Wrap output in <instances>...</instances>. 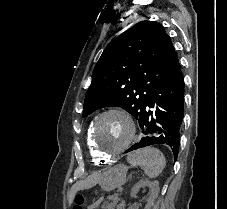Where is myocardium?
<instances>
[{
	"label": "myocardium",
	"mask_w": 227,
	"mask_h": 209,
	"mask_svg": "<svg viewBox=\"0 0 227 209\" xmlns=\"http://www.w3.org/2000/svg\"><path fill=\"white\" fill-rule=\"evenodd\" d=\"M112 113L120 114L127 119V121L129 122V124L131 126V135H130L128 141L122 147L109 152V151L104 150L101 147V145L99 144L98 139H97V130H98L101 120L105 116L112 114ZM136 135H137V127H136L134 120L132 119V117L130 116V114L128 112H126L125 110H123L121 108H109V109L103 111L102 113H100L95 118L93 125H92V130H91L92 143H93L97 153L101 157L107 158V159L114 158V157L120 155L122 152H124Z\"/></svg>",
	"instance_id": "obj_1"
}]
</instances>
